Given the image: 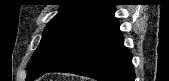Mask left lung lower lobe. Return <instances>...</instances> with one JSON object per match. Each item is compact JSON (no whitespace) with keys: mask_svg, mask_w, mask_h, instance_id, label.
I'll list each match as a JSON object with an SVG mask.
<instances>
[{"mask_svg":"<svg viewBox=\"0 0 169 81\" xmlns=\"http://www.w3.org/2000/svg\"><path fill=\"white\" fill-rule=\"evenodd\" d=\"M114 12L113 6L84 28L47 72L73 73L98 81H134L132 55L123 44Z\"/></svg>","mask_w":169,"mask_h":81,"instance_id":"left-lung-lower-lobe-1","label":"left lung lower lobe"}]
</instances>
